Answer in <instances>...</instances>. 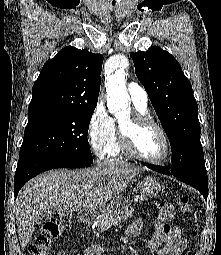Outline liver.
<instances>
[{
	"instance_id": "6515ba94",
	"label": "liver",
	"mask_w": 221,
	"mask_h": 255,
	"mask_svg": "<svg viewBox=\"0 0 221 255\" xmlns=\"http://www.w3.org/2000/svg\"><path fill=\"white\" fill-rule=\"evenodd\" d=\"M140 168L126 162L109 161L82 170H50L31 179L15 201L16 223L22 250L44 212L101 210L126 189Z\"/></svg>"
}]
</instances>
